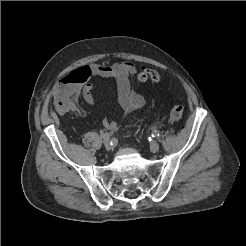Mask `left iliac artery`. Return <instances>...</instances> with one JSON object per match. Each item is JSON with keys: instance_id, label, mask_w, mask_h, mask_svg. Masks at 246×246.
<instances>
[{"instance_id": "left-iliac-artery-1", "label": "left iliac artery", "mask_w": 246, "mask_h": 246, "mask_svg": "<svg viewBox=\"0 0 246 246\" xmlns=\"http://www.w3.org/2000/svg\"><path fill=\"white\" fill-rule=\"evenodd\" d=\"M160 135V133H159V131L158 130H155V131H153V133H152V137H158Z\"/></svg>"}]
</instances>
